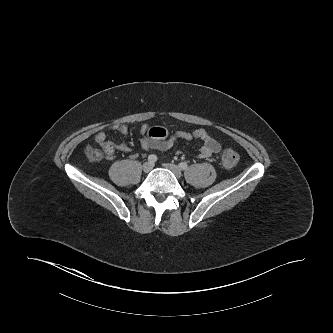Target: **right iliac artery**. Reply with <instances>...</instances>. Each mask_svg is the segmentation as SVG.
Listing matches in <instances>:
<instances>
[{
	"mask_svg": "<svg viewBox=\"0 0 333 333\" xmlns=\"http://www.w3.org/2000/svg\"><path fill=\"white\" fill-rule=\"evenodd\" d=\"M148 161L151 163H155L157 161V156L156 155H149L148 156Z\"/></svg>",
	"mask_w": 333,
	"mask_h": 333,
	"instance_id": "obj_1",
	"label": "right iliac artery"
}]
</instances>
